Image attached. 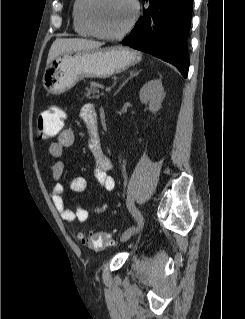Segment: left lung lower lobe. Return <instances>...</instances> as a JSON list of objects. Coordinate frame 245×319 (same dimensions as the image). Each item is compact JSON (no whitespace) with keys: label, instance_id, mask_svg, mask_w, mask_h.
Instances as JSON below:
<instances>
[{"label":"left lung lower lobe","instance_id":"obj_1","mask_svg":"<svg viewBox=\"0 0 245 319\" xmlns=\"http://www.w3.org/2000/svg\"><path fill=\"white\" fill-rule=\"evenodd\" d=\"M134 29L123 45L150 53L178 68L184 78L189 69L187 37L193 0H146Z\"/></svg>","mask_w":245,"mask_h":319}]
</instances>
